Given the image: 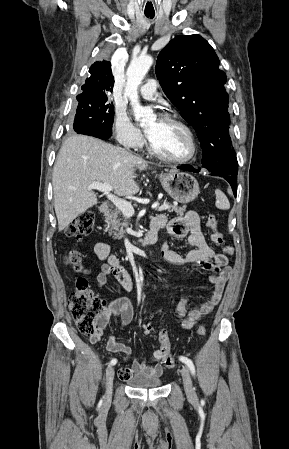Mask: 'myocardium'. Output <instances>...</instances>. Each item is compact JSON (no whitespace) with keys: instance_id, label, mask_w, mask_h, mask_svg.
Listing matches in <instances>:
<instances>
[{"instance_id":"1","label":"myocardium","mask_w":289,"mask_h":449,"mask_svg":"<svg viewBox=\"0 0 289 449\" xmlns=\"http://www.w3.org/2000/svg\"><path fill=\"white\" fill-rule=\"evenodd\" d=\"M160 119L166 122H170L173 123L177 126H179L180 128H182L184 130V132L186 133V135L188 136L189 142H190V153L183 158H174V157H168L166 155L161 154L160 152H158L154 145L152 144L151 140L149 139V137L147 136V149L149 151V153L162 160L165 162H170V163H177V164H186L189 163L191 161H193L196 156H197V152H198V146H197V141H196V137L194 135V132L192 131V129L189 127L188 124H186L183 120H181L180 118L171 115V114H162L160 116Z\"/></svg>"}]
</instances>
